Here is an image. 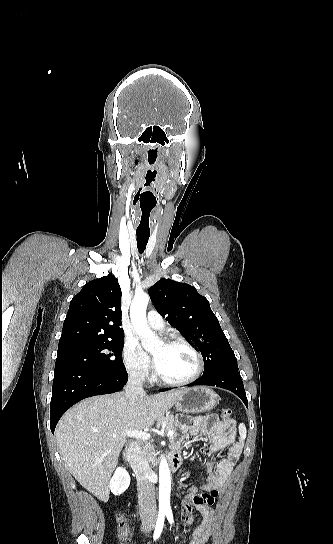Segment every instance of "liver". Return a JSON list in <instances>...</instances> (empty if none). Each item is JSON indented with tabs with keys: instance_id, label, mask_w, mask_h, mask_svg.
<instances>
[{
	"instance_id": "1",
	"label": "liver",
	"mask_w": 333,
	"mask_h": 544,
	"mask_svg": "<svg viewBox=\"0 0 333 544\" xmlns=\"http://www.w3.org/2000/svg\"><path fill=\"white\" fill-rule=\"evenodd\" d=\"M183 392L132 398L120 392L76 404L64 414L55 431L65 466L86 490L107 501L108 481L126 442L125 431L152 427Z\"/></svg>"
}]
</instances>
